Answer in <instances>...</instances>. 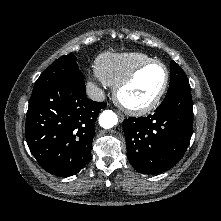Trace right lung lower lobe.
Wrapping results in <instances>:
<instances>
[{
    "label": "right lung lower lobe",
    "mask_w": 221,
    "mask_h": 221,
    "mask_svg": "<svg viewBox=\"0 0 221 221\" xmlns=\"http://www.w3.org/2000/svg\"><path fill=\"white\" fill-rule=\"evenodd\" d=\"M105 106L86 97L85 85L68 81L30 98L25 136L38 163L52 175L78 173L90 160L95 122Z\"/></svg>",
    "instance_id": "right-lung-lower-lobe-1"
}]
</instances>
